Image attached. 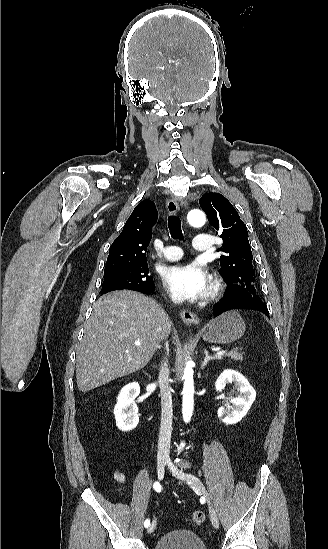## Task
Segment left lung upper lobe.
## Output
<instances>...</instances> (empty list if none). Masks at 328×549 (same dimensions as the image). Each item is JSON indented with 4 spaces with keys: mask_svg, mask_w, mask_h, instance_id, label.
Returning <instances> with one entry per match:
<instances>
[{
    "mask_svg": "<svg viewBox=\"0 0 328 549\" xmlns=\"http://www.w3.org/2000/svg\"><path fill=\"white\" fill-rule=\"evenodd\" d=\"M199 203L209 223L224 241L218 251L222 252L219 273L227 284L225 296L261 300L256 287L247 227L238 212L219 193L204 194Z\"/></svg>",
    "mask_w": 328,
    "mask_h": 549,
    "instance_id": "obj_1",
    "label": "left lung upper lobe"
}]
</instances>
